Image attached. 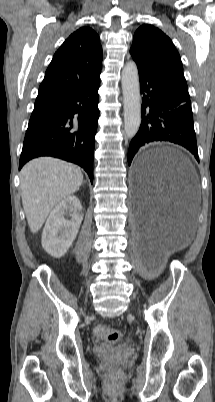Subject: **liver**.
Listing matches in <instances>:
<instances>
[{"label": "liver", "instance_id": "1", "mask_svg": "<svg viewBox=\"0 0 215 402\" xmlns=\"http://www.w3.org/2000/svg\"><path fill=\"white\" fill-rule=\"evenodd\" d=\"M22 205L32 233L40 230L51 210L76 192L81 170L65 161L41 157L28 162L20 172Z\"/></svg>", "mask_w": 215, "mask_h": 402}]
</instances>
